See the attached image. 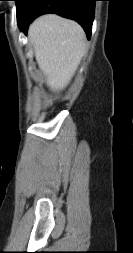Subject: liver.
Listing matches in <instances>:
<instances>
[{
	"instance_id": "6515ba94",
	"label": "liver",
	"mask_w": 133,
	"mask_h": 253,
	"mask_svg": "<svg viewBox=\"0 0 133 253\" xmlns=\"http://www.w3.org/2000/svg\"><path fill=\"white\" fill-rule=\"evenodd\" d=\"M28 36L39 68L47 76V85L53 91L65 88L85 54L82 27L75 21L49 14L30 25Z\"/></svg>"
}]
</instances>
